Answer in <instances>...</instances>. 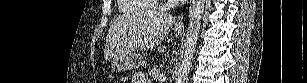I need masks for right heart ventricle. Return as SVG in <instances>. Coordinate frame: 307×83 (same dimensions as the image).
<instances>
[{"label":"right heart ventricle","instance_id":"e07e8e85","mask_svg":"<svg viewBox=\"0 0 307 83\" xmlns=\"http://www.w3.org/2000/svg\"><path fill=\"white\" fill-rule=\"evenodd\" d=\"M154 3L156 7V1ZM154 3L151 0H120L119 9L125 14H138L153 10Z\"/></svg>","mask_w":307,"mask_h":83}]
</instances>
